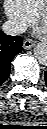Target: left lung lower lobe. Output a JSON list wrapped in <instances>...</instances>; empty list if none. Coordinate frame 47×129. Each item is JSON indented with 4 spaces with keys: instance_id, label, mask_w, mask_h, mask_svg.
<instances>
[{
    "instance_id": "obj_1",
    "label": "left lung lower lobe",
    "mask_w": 47,
    "mask_h": 129,
    "mask_svg": "<svg viewBox=\"0 0 47 129\" xmlns=\"http://www.w3.org/2000/svg\"><path fill=\"white\" fill-rule=\"evenodd\" d=\"M45 80H46V83H47V71H45Z\"/></svg>"
}]
</instances>
